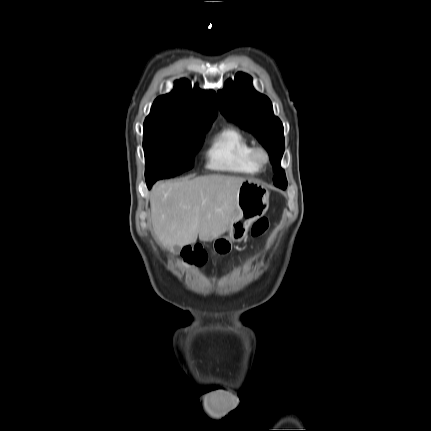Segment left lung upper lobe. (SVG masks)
<instances>
[{"label": "left lung upper lobe", "mask_w": 431, "mask_h": 431, "mask_svg": "<svg viewBox=\"0 0 431 431\" xmlns=\"http://www.w3.org/2000/svg\"><path fill=\"white\" fill-rule=\"evenodd\" d=\"M252 78L238 73L234 82L228 80L225 89L218 92L221 113L231 121L253 133L270 155L275 177L274 185L286 189L287 180L280 160L284 152L283 126L274 116L270 100L255 91Z\"/></svg>", "instance_id": "5c2ea615"}]
</instances>
